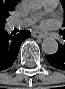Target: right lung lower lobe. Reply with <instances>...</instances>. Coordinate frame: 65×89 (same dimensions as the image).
<instances>
[{"label": "right lung lower lobe", "instance_id": "1", "mask_svg": "<svg viewBox=\"0 0 65 89\" xmlns=\"http://www.w3.org/2000/svg\"><path fill=\"white\" fill-rule=\"evenodd\" d=\"M28 37H30V32L27 30L10 36L4 28H0V71L9 68L14 63L21 43Z\"/></svg>", "mask_w": 65, "mask_h": 89}]
</instances>
